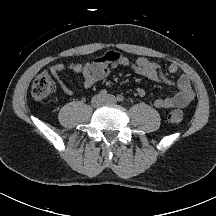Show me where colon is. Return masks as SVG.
Here are the masks:
<instances>
[{
  "label": "colon",
  "mask_w": 216,
  "mask_h": 216,
  "mask_svg": "<svg viewBox=\"0 0 216 216\" xmlns=\"http://www.w3.org/2000/svg\"><path fill=\"white\" fill-rule=\"evenodd\" d=\"M55 89L54 82L49 73L43 72L35 77L31 86V94L35 99L47 98ZM183 120V112L180 109H173L168 114V121L178 125Z\"/></svg>",
  "instance_id": "obj_1"
}]
</instances>
